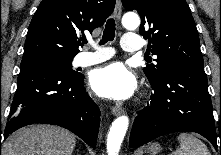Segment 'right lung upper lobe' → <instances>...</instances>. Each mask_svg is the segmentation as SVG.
Wrapping results in <instances>:
<instances>
[{"instance_id": "1", "label": "right lung upper lobe", "mask_w": 221, "mask_h": 155, "mask_svg": "<svg viewBox=\"0 0 221 155\" xmlns=\"http://www.w3.org/2000/svg\"><path fill=\"white\" fill-rule=\"evenodd\" d=\"M114 6L115 0H42L31 20L23 57H74L84 31L102 26Z\"/></svg>"}]
</instances>
